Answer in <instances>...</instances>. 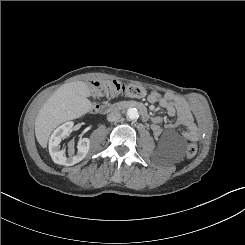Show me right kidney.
Instances as JSON below:
<instances>
[{
    "instance_id": "obj_1",
    "label": "right kidney",
    "mask_w": 245,
    "mask_h": 245,
    "mask_svg": "<svg viewBox=\"0 0 245 245\" xmlns=\"http://www.w3.org/2000/svg\"><path fill=\"white\" fill-rule=\"evenodd\" d=\"M73 122H66L54 130L49 140V153L54 163L65 166H72L82 161L90 148L89 138L79 140L77 144V153L74 154V146H69V157H66L64 150L60 149L62 138L69 136L72 132Z\"/></svg>"
}]
</instances>
